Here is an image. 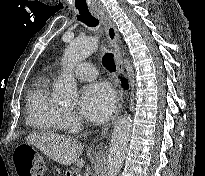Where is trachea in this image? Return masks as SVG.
Segmentation results:
<instances>
[{"mask_svg": "<svg viewBox=\"0 0 205 176\" xmlns=\"http://www.w3.org/2000/svg\"><path fill=\"white\" fill-rule=\"evenodd\" d=\"M77 19L84 24H86L88 27H96L99 24V21L96 17H94L91 12L87 10H79V15L77 16ZM103 65L111 72L115 71V64L113 55L111 53H106L102 58Z\"/></svg>", "mask_w": 205, "mask_h": 176, "instance_id": "trachea-1", "label": "trachea"}]
</instances>
